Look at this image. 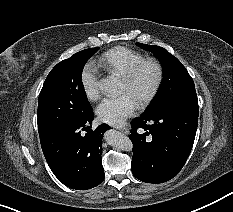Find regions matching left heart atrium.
<instances>
[{"label":"left heart atrium","mask_w":233,"mask_h":212,"mask_svg":"<svg viewBox=\"0 0 233 212\" xmlns=\"http://www.w3.org/2000/svg\"><path fill=\"white\" fill-rule=\"evenodd\" d=\"M137 106L129 94L123 93L118 97L103 99L97 106L96 113L101 121L118 126L135 113Z\"/></svg>","instance_id":"1"}]
</instances>
